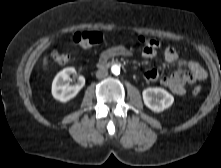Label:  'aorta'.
Here are the masks:
<instances>
[{
	"label": "aorta",
	"mask_w": 221,
	"mask_h": 168,
	"mask_svg": "<svg viewBox=\"0 0 221 168\" xmlns=\"http://www.w3.org/2000/svg\"><path fill=\"white\" fill-rule=\"evenodd\" d=\"M111 72L115 75H118L120 73V66L117 64L112 65Z\"/></svg>",
	"instance_id": "obj_1"
}]
</instances>
